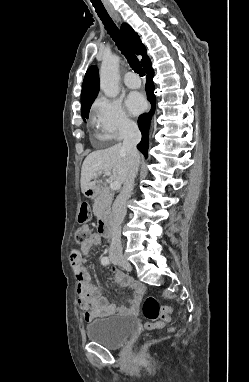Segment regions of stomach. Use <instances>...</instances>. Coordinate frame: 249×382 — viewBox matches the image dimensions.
Here are the masks:
<instances>
[{
  "instance_id": "0dacf381",
  "label": "stomach",
  "mask_w": 249,
  "mask_h": 382,
  "mask_svg": "<svg viewBox=\"0 0 249 382\" xmlns=\"http://www.w3.org/2000/svg\"><path fill=\"white\" fill-rule=\"evenodd\" d=\"M84 194H85V196H86L87 198H93L95 192L93 191L92 188H87L86 191L84 192Z\"/></svg>"
}]
</instances>
